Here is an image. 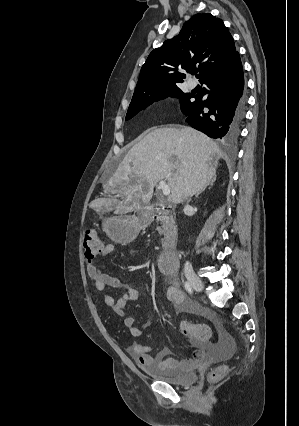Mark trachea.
Segmentation results:
<instances>
[{"instance_id": "3493384b", "label": "trachea", "mask_w": 299, "mask_h": 426, "mask_svg": "<svg viewBox=\"0 0 299 426\" xmlns=\"http://www.w3.org/2000/svg\"><path fill=\"white\" fill-rule=\"evenodd\" d=\"M197 73V71H193L192 74L195 75Z\"/></svg>"}]
</instances>
